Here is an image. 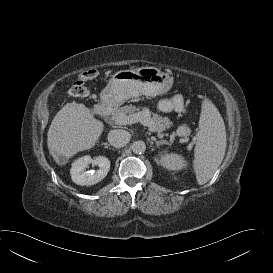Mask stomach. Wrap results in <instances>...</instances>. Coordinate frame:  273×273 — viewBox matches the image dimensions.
<instances>
[{"label": "stomach", "mask_w": 273, "mask_h": 273, "mask_svg": "<svg viewBox=\"0 0 273 273\" xmlns=\"http://www.w3.org/2000/svg\"><path fill=\"white\" fill-rule=\"evenodd\" d=\"M173 77L156 67H141L116 72L100 94L102 104L115 108L141 95L156 97L169 92Z\"/></svg>", "instance_id": "0dacf381"}]
</instances>
